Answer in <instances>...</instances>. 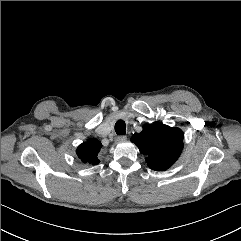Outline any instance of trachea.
I'll return each instance as SVG.
<instances>
[{
	"instance_id": "obj_1",
	"label": "trachea",
	"mask_w": 241,
	"mask_h": 241,
	"mask_svg": "<svg viewBox=\"0 0 241 241\" xmlns=\"http://www.w3.org/2000/svg\"><path fill=\"white\" fill-rule=\"evenodd\" d=\"M126 125L125 122L122 120H119L115 124V132L117 135H124L126 133Z\"/></svg>"
}]
</instances>
